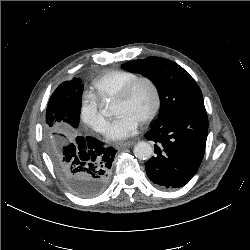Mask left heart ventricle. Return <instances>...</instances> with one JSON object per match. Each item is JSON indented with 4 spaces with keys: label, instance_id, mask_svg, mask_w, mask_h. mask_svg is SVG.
<instances>
[{
    "label": "left heart ventricle",
    "instance_id": "1",
    "mask_svg": "<svg viewBox=\"0 0 250 250\" xmlns=\"http://www.w3.org/2000/svg\"><path fill=\"white\" fill-rule=\"evenodd\" d=\"M153 106V94L145 83L139 84L131 97L124 102L116 101L115 108L118 115L128 113L140 121L150 112Z\"/></svg>",
    "mask_w": 250,
    "mask_h": 250
}]
</instances>
